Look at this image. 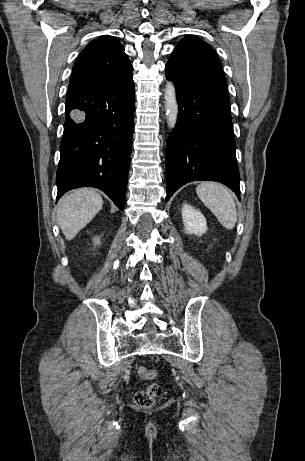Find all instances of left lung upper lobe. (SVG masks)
Returning a JSON list of instances; mask_svg holds the SVG:
<instances>
[{
	"label": "left lung upper lobe",
	"instance_id": "5c2ea615",
	"mask_svg": "<svg viewBox=\"0 0 305 461\" xmlns=\"http://www.w3.org/2000/svg\"><path fill=\"white\" fill-rule=\"evenodd\" d=\"M171 56L193 61L219 60L212 47L197 37L182 39L173 50Z\"/></svg>",
	"mask_w": 305,
	"mask_h": 461
}]
</instances>
